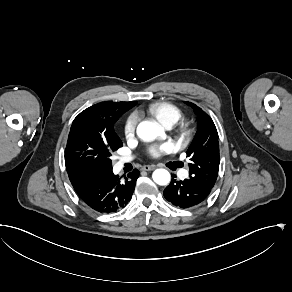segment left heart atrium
Listing matches in <instances>:
<instances>
[{"label": "left heart atrium", "instance_id": "obj_1", "mask_svg": "<svg viewBox=\"0 0 292 292\" xmlns=\"http://www.w3.org/2000/svg\"><path fill=\"white\" fill-rule=\"evenodd\" d=\"M174 150V146L171 142H164L160 145H154L152 146L148 154L152 158H159L164 154L171 153Z\"/></svg>", "mask_w": 292, "mask_h": 292}]
</instances>
